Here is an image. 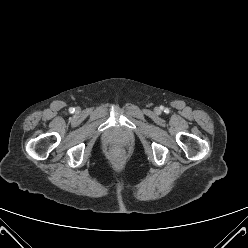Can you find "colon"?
<instances>
[{"instance_id": "colon-1", "label": "colon", "mask_w": 248, "mask_h": 248, "mask_svg": "<svg viewBox=\"0 0 248 248\" xmlns=\"http://www.w3.org/2000/svg\"><path fill=\"white\" fill-rule=\"evenodd\" d=\"M114 155H115L116 158H120L121 157V153L119 151H116L114 153Z\"/></svg>"}]
</instances>
